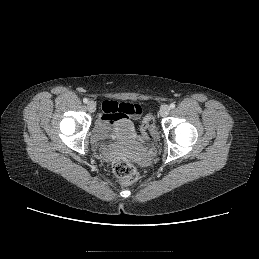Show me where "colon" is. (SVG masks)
<instances>
[{
  "label": "colon",
  "mask_w": 259,
  "mask_h": 259,
  "mask_svg": "<svg viewBox=\"0 0 259 259\" xmlns=\"http://www.w3.org/2000/svg\"><path fill=\"white\" fill-rule=\"evenodd\" d=\"M152 125V116L146 115L142 121L141 131L144 138H147ZM113 172L122 184H130L138 178L136 166L128 159L117 157L113 161Z\"/></svg>",
  "instance_id": "colon-1"
}]
</instances>
